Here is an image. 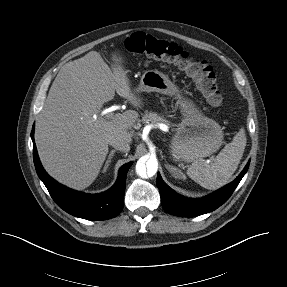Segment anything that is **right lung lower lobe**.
<instances>
[{"label": "right lung lower lobe", "mask_w": 287, "mask_h": 287, "mask_svg": "<svg viewBox=\"0 0 287 287\" xmlns=\"http://www.w3.org/2000/svg\"><path fill=\"white\" fill-rule=\"evenodd\" d=\"M31 138L33 141V159L37 174L60 208L73 216L87 220L110 219L122 211L126 175L132 162L124 164L120 168L117 181L112 188L100 194H86L59 184L46 173L38 157L33 130Z\"/></svg>", "instance_id": "right-lung-lower-lobe-1"}]
</instances>
